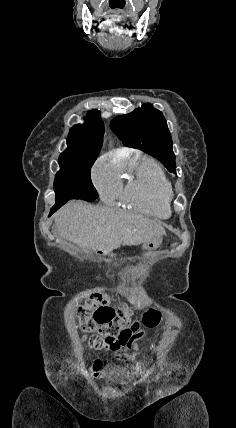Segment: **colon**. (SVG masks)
<instances>
[{"mask_svg":"<svg viewBox=\"0 0 236 428\" xmlns=\"http://www.w3.org/2000/svg\"><path fill=\"white\" fill-rule=\"evenodd\" d=\"M131 315L128 305L110 307L108 296L101 290L93 291L78 311L80 329L89 346L107 350H117L139 332ZM159 321V315L152 312L143 317V323L148 328L157 326Z\"/></svg>","mask_w":236,"mask_h":428,"instance_id":"1","label":"colon"}]
</instances>
